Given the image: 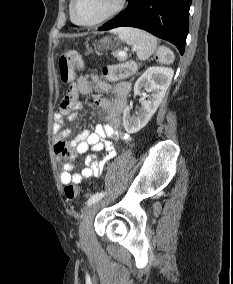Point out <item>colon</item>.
<instances>
[{"instance_id":"colon-1","label":"colon","mask_w":233,"mask_h":284,"mask_svg":"<svg viewBox=\"0 0 233 284\" xmlns=\"http://www.w3.org/2000/svg\"><path fill=\"white\" fill-rule=\"evenodd\" d=\"M174 54L171 49L161 46L156 51L154 60L163 65L173 62ZM135 62H127L106 66L102 69V76L108 81H118L132 75L138 68ZM83 61L75 50H65L58 58V68L63 83H70L75 77V69H81ZM67 199L73 200L78 196V188L74 184H68L64 188Z\"/></svg>"}]
</instances>
